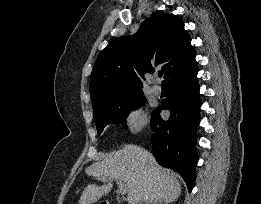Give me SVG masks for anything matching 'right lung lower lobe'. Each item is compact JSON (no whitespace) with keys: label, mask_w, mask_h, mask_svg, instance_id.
Segmentation results:
<instances>
[{"label":"right lung lower lobe","mask_w":261,"mask_h":204,"mask_svg":"<svg viewBox=\"0 0 261 204\" xmlns=\"http://www.w3.org/2000/svg\"><path fill=\"white\" fill-rule=\"evenodd\" d=\"M197 63L194 60L167 80L169 98L162 109L170 110V118L160 117L161 108L152 112V149L158 163L177 171L189 192L194 186L197 154L196 129L199 124V87Z\"/></svg>","instance_id":"obj_1"}]
</instances>
